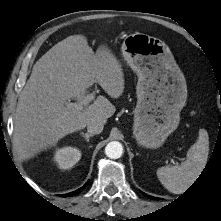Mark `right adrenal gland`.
<instances>
[{
	"mask_svg": "<svg viewBox=\"0 0 221 221\" xmlns=\"http://www.w3.org/2000/svg\"><path fill=\"white\" fill-rule=\"evenodd\" d=\"M80 134L85 138V140H86L87 142H89L90 137H93V136H94L93 134L84 133V132H81Z\"/></svg>",
	"mask_w": 221,
	"mask_h": 221,
	"instance_id": "obj_1",
	"label": "right adrenal gland"
}]
</instances>
